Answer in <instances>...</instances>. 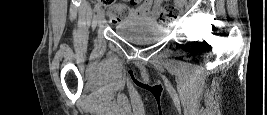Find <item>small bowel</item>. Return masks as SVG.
Wrapping results in <instances>:
<instances>
[{
	"mask_svg": "<svg viewBox=\"0 0 267 115\" xmlns=\"http://www.w3.org/2000/svg\"><path fill=\"white\" fill-rule=\"evenodd\" d=\"M163 0H145L131 9L130 18L153 20L157 17Z\"/></svg>",
	"mask_w": 267,
	"mask_h": 115,
	"instance_id": "small-bowel-1",
	"label": "small bowel"
}]
</instances>
